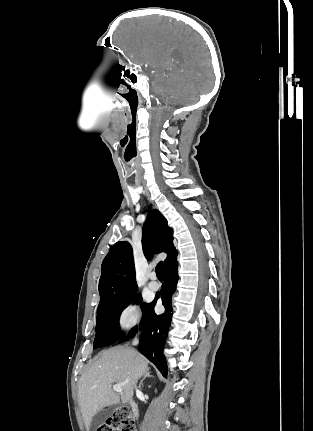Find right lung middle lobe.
I'll return each mask as SVG.
<instances>
[{
  "mask_svg": "<svg viewBox=\"0 0 313 431\" xmlns=\"http://www.w3.org/2000/svg\"><path fill=\"white\" fill-rule=\"evenodd\" d=\"M136 292L137 290L125 296L112 298L99 303L94 349L113 344L123 336L119 331V317L121 312L133 301L136 304H141V295H136ZM146 305V303H142V310Z\"/></svg>",
  "mask_w": 313,
  "mask_h": 431,
  "instance_id": "dd1d6c3e",
  "label": "right lung middle lobe"
}]
</instances>
